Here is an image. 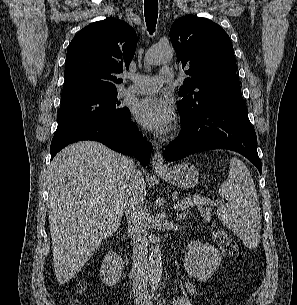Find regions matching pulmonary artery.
Here are the masks:
<instances>
[{
	"mask_svg": "<svg viewBox=\"0 0 297 305\" xmlns=\"http://www.w3.org/2000/svg\"><path fill=\"white\" fill-rule=\"evenodd\" d=\"M133 84L127 88V93L144 94L157 91L164 83L172 82L174 73L171 69L164 68L160 70L158 76L150 75H128Z\"/></svg>",
	"mask_w": 297,
	"mask_h": 305,
	"instance_id": "obj_1",
	"label": "pulmonary artery"
}]
</instances>
